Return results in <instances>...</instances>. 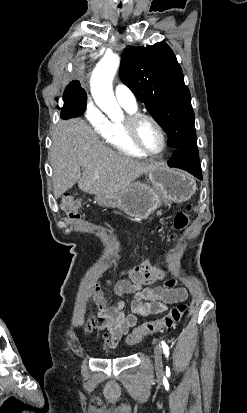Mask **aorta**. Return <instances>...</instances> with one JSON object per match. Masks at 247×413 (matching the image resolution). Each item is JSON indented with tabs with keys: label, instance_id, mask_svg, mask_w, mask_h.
Returning <instances> with one entry per match:
<instances>
[{
	"label": "aorta",
	"instance_id": "obj_1",
	"mask_svg": "<svg viewBox=\"0 0 247 413\" xmlns=\"http://www.w3.org/2000/svg\"><path fill=\"white\" fill-rule=\"evenodd\" d=\"M120 58L117 54L107 53L97 64L91 77V93L96 104L114 119L122 115L115 99L112 81L119 68Z\"/></svg>",
	"mask_w": 247,
	"mask_h": 413
}]
</instances>
